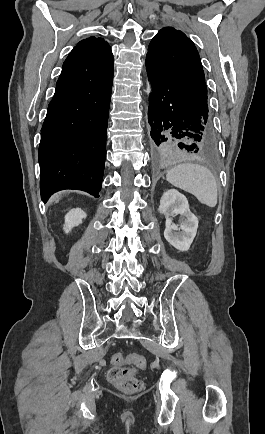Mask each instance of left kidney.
<instances>
[{"instance_id":"left-kidney-1","label":"left kidney","mask_w":265,"mask_h":434,"mask_svg":"<svg viewBox=\"0 0 265 434\" xmlns=\"http://www.w3.org/2000/svg\"><path fill=\"white\" fill-rule=\"evenodd\" d=\"M160 214L166 216V228L164 238L180 252H187L189 250L198 228V220L189 210L187 198L183 194H179L177 190H168L164 192L159 206ZM185 218L184 222H180L181 226L173 224L170 216H177ZM176 230V232H173ZM182 230V232H180Z\"/></svg>"}]
</instances>
